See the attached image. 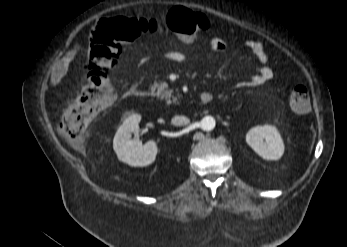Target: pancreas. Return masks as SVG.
Segmentation results:
<instances>
[{
	"label": "pancreas",
	"instance_id": "obj_1",
	"mask_svg": "<svg viewBox=\"0 0 347 247\" xmlns=\"http://www.w3.org/2000/svg\"><path fill=\"white\" fill-rule=\"evenodd\" d=\"M152 88L157 90L156 95L161 99H165L167 103L176 102V98L172 97V90L168 89V84L166 82L154 83Z\"/></svg>",
	"mask_w": 347,
	"mask_h": 247
}]
</instances>
